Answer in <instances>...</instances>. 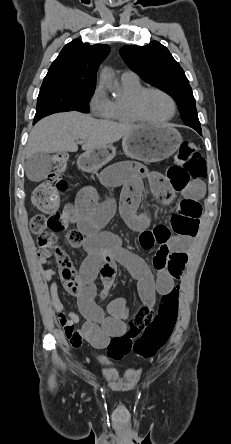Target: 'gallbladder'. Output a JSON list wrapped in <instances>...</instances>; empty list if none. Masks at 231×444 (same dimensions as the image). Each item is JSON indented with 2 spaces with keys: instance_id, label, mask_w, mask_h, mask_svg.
Segmentation results:
<instances>
[{
  "instance_id": "obj_1",
  "label": "gallbladder",
  "mask_w": 231,
  "mask_h": 444,
  "mask_svg": "<svg viewBox=\"0 0 231 444\" xmlns=\"http://www.w3.org/2000/svg\"><path fill=\"white\" fill-rule=\"evenodd\" d=\"M52 168L50 155L46 152H37L27 158L25 172L31 181H41L48 176Z\"/></svg>"
}]
</instances>
